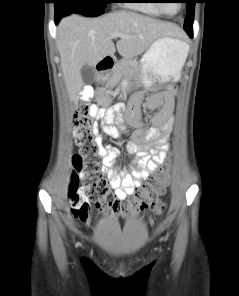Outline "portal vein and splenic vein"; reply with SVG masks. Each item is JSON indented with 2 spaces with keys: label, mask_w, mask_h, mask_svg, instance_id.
<instances>
[{
  "label": "portal vein and splenic vein",
  "mask_w": 239,
  "mask_h": 296,
  "mask_svg": "<svg viewBox=\"0 0 239 296\" xmlns=\"http://www.w3.org/2000/svg\"><path fill=\"white\" fill-rule=\"evenodd\" d=\"M112 37L115 38V37H127L126 35L122 34V33H118V32H113L112 33Z\"/></svg>",
  "instance_id": "obj_1"
}]
</instances>
